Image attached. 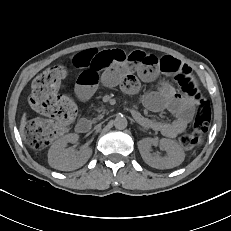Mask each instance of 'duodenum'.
Masks as SVG:
<instances>
[{"label": "duodenum", "mask_w": 231, "mask_h": 231, "mask_svg": "<svg viewBox=\"0 0 231 231\" xmlns=\"http://www.w3.org/2000/svg\"><path fill=\"white\" fill-rule=\"evenodd\" d=\"M91 129V124L87 119H81L76 125V131L80 134L88 133Z\"/></svg>", "instance_id": "duodenum-1"}]
</instances>
